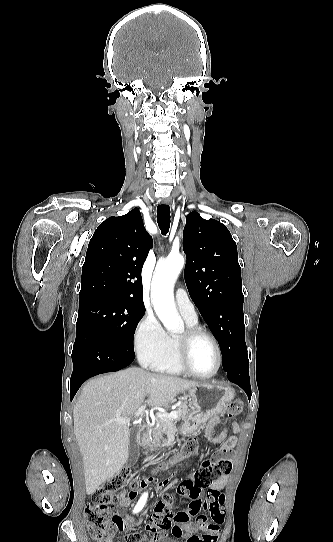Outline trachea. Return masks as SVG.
Returning <instances> with one entry per match:
<instances>
[{
	"label": "trachea",
	"mask_w": 333,
	"mask_h": 542,
	"mask_svg": "<svg viewBox=\"0 0 333 542\" xmlns=\"http://www.w3.org/2000/svg\"><path fill=\"white\" fill-rule=\"evenodd\" d=\"M157 220L162 234L166 235L170 227V207L169 205H158Z\"/></svg>",
	"instance_id": "trachea-1"
}]
</instances>
